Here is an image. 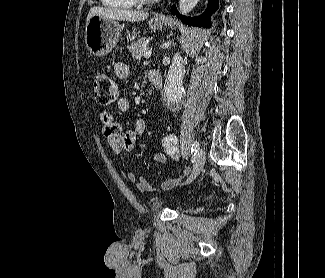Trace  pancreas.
Returning a JSON list of instances; mask_svg holds the SVG:
<instances>
[{
    "mask_svg": "<svg viewBox=\"0 0 325 278\" xmlns=\"http://www.w3.org/2000/svg\"><path fill=\"white\" fill-rule=\"evenodd\" d=\"M148 41L145 38L139 39L133 42L129 47V51L132 53L133 59L140 60L147 51Z\"/></svg>",
    "mask_w": 325,
    "mask_h": 278,
    "instance_id": "cf45deb5",
    "label": "pancreas"
}]
</instances>
